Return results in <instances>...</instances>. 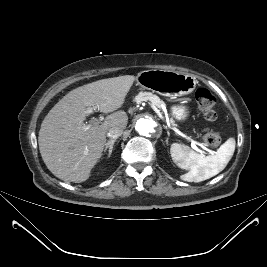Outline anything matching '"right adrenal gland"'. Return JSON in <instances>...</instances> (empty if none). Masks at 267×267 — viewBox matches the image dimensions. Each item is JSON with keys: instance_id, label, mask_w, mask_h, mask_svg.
Listing matches in <instances>:
<instances>
[{"instance_id": "1", "label": "right adrenal gland", "mask_w": 267, "mask_h": 267, "mask_svg": "<svg viewBox=\"0 0 267 267\" xmlns=\"http://www.w3.org/2000/svg\"><path fill=\"white\" fill-rule=\"evenodd\" d=\"M116 138L115 139H110L109 141H107V143L105 144V148H104V153H106L107 152V150H108V158H110V156H111V154H112V150H113V146H114V144H115V142H116Z\"/></svg>"}]
</instances>
